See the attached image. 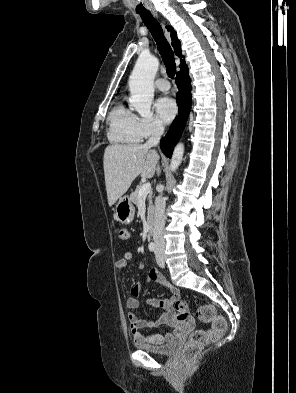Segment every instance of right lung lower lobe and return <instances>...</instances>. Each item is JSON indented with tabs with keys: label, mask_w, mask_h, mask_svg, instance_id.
Returning <instances> with one entry per match:
<instances>
[{
	"label": "right lung lower lobe",
	"mask_w": 296,
	"mask_h": 393,
	"mask_svg": "<svg viewBox=\"0 0 296 393\" xmlns=\"http://www.w3.org/2000/svg\"><path fill=\"white\" fill-rule=\"evenodd\" d=\"M176 84L179 88L176 101L179 106V114L173 121L167 135L161 140V149L167 157H171L172 151L186 125L191 108V84L186 65L180 67L176 76Z\"/></svg>",
	"instance_id": "right-lung-lower-lobe-1"
}]
</instances>
